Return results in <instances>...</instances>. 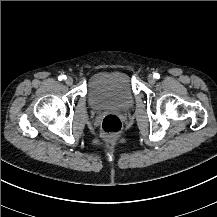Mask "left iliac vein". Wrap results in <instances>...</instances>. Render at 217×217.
Segmentation results:
<instances>
[{
	"label": "left iliac vein",
	"instance_id": "left-iliac-vein-1",
	"mask_svg": "<svg viewBox=\"0 0 217 217\" xmlns=\"http://www.w3.org/2000/svg\"><path fill=\"white\" fill-rule=\"evenodd\" d=\"M147 79H148V82L152 85L155 84L156 82L155 78L152 75H149Z\"/></svg>",
	"mask_w": 217,
	"mask_h": 217
}]
</instances>
